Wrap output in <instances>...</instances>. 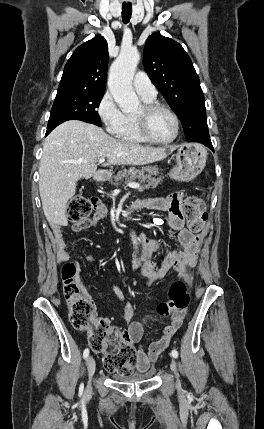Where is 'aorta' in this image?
I'll use <instances>...</instances> for the list:
<instances>
[{
  "mask_svg": "<svg viewBox=\"0 0 264 429\" xmlns=\"http://www.w3.org/2000/svg\"><path fill=\"white\" fill-rule=\"evenodd\" d=\"M140 60V54L133 47L123 48L110 68L108 87L123 113H132L139 107V99L132 88L134 72ZM133 245L137 246L135 234Z\"/></svg>",
  "mask_w": 264,
  "mask_h": 429,
  "instance_id": "1",
  "label": "aorta"
}]
</instances>
